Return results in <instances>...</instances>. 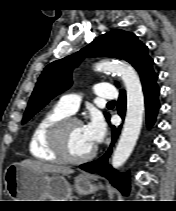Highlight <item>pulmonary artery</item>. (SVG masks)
Returning a JSON list of instances; mask_svg holds the SVG:
<instances>
[{"label": "pulmonary artery", "instance_id": "obj_1", "mask_svg": "<svg viewBox=\"0 0 176 211\" xmlns=\"http://www.w3.org/2000/svg\"><path fill=\"white\" fill-rule=\"evenodd\" d=\"M98 98L114 100L117 92L113 85L109 83H98L94 89ZM81 98L77 94H67L60 98L58 105L69 114H73L79 107Z\"/></svg>", "mask_w": 176, "mask_h": 211}]
</instances>
